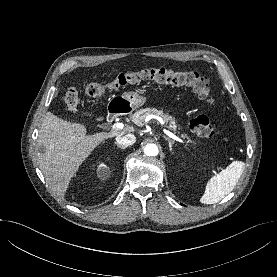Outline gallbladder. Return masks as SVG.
I'll use <instances>...</instances> for the list:
<instances>
[{
	"instance_id": "bac80fb5",
	"label": "gallbladder",
	"mask_w": 277,
	"mask_h": 277,
	"mask_svg": "<svg viewBox=\"0 0 277 277\" xmlns=\"http://www.w3.org/2000/svg\"><path fill=\"white\" fill-rule=\"evenodd\" d=\"M81 113H82V115H90V116L92 115L91 113H87V112H83V111Z\"/></svg>"
}]
</instances>
